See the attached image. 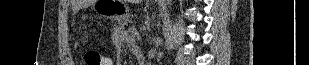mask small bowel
<instances>
[{"label": "small bowel", "instance_id": "obj_1", "mask_svg": "<svg viewBox=\"0 0 309 65\" xmlns=\"http://www.w3.org/2000/svg\"><path fill=\"white\" fill-rule=\"evenodd\" d=\"M124 44L129 45L133 49V51L139 48V46L136 45V43L129 36V34L126 31L121 30L119 34L115 37V45L118 48V50H120ZM104 59H105V63L103 65H114V64L122 65L121 61L114 63L113 60L109 57H104Z\"/></svg>", "mask_w": 309, "mask_h": 65}]
</instances>
